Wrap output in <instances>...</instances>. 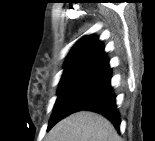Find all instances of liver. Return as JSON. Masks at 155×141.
<instances>
[{"label":"liver","instance_id":"6515ba94","mask_svg":"<svg viewBox=\"0 0 155 141\" xmlns=\"http://www.w3.org/2000/svg\"><path fill=\"white\" fill-rule=\"evenodd\" d=\"M47 141H120L113 125L101 115L78 112L57 123Z\"/></svg>","mask_w":155,"mask_h":141}]
</instances>
